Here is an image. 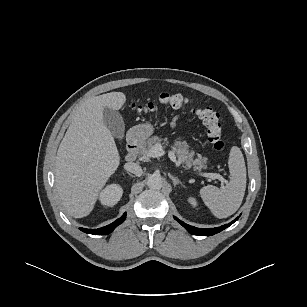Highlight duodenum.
<instances>
[{
    "label": "duodenum",
    "mask_w": 307,
    "mask_h": 307,
    "mask_svg": "<svg viewBox=\"0 0 307 307\" xmlns=\"http://www.w3.org/2000/svg\"><path fill=\"white\" fill-rule=\"evenodd\" d=\"M141 137L138 133H133L128 137L127 140V151L125 154V160L133 162L136 159L137 152L139 149Z\"/></svg>",
    "instance_id": "duodenum-1"
}]
</instances>
